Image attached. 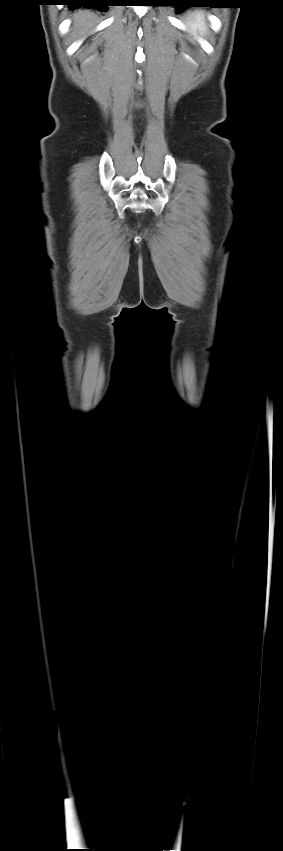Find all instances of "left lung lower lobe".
<instances>
[{"instance_id": "left-lung-lower-lobe-1", "label": "left lung lower lobe", "mask_w": 283, "mask_h": 851, "mask_svg": "<svg viewBox=\"0 0 283 851\" xmlns=\"http://www.w3.org/2000/svg\"><path fill=\"white\" fill-rule=\"evenodd\" d=\"M213 0H185L184 5H179L176 7H188L185 4H210L213 3Z\"/></svg>"}]
</instances>
